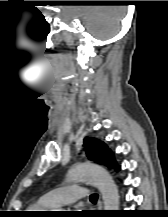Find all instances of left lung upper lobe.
<instances>
[{
	"instance_id": "1",
	"label": "left lung upper lobe",
	"mask_w": 168,
	"mask_h": 217,
	"mask_svg": "<svg viewBox=\"0 0 168 217\" xmlns=\"http://www.w3.org/2000/svg\"><path fill=\"white\" fill-rule=\"evenodd\" d=\"M83 152L89 160L113 167L116 171L120 170V166L117 165L112 151L104 142L96 138L86 137L84 139Z\"/></svg>"
}]
</instances>
